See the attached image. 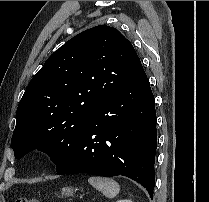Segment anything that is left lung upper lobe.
<instances>
[{
    "label": "left lung upper lobe",
    "instance_id": "5c2ea615",
    "mask_svg": "<svg viewBox=\"0 0 209 202\" xmlns=\"http://www.w3.org/2000/svg\"><path fill=\"white\" fill-rule=\"evenodd\" d=\"M143 72L129 40L100 25L67 41L34 75L18 105L15 158L38 149L60 169L84 132L88 114Z\"/></svg>",
    "mask_w": 209,
    "mask_h": 202
}]
</instances>
